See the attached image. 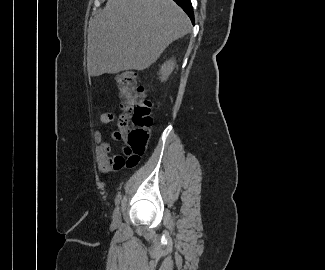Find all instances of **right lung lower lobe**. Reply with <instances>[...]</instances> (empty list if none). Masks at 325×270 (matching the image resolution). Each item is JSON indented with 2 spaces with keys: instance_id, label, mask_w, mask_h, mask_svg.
I'll return each mask as SVG.
<instances>
[{
  "instance_id": "1",
  "label": "right lung lower lobe",
  "mask_w": 325,
  "mask_h": 270,
  "mask_svg": "<svg viewBox=\"0 0 325 270\" xmlns=\"http://www.w3.org/2000/svg\"><path fill=\"white\" fill-rule=\"evenodd\" d=\"M190 17L192 22H194L193 8L190 0H174Z\"/></svg>"
}]
</instances>
